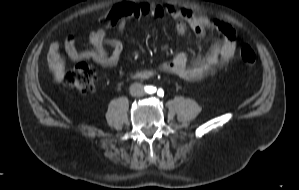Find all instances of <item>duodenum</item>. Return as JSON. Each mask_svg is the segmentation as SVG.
<instances>
[{"instance_id": "410a0bca", "label": "duodenum", "mask_w": 299, "mask_h": 190, "mask_svg": "<svg viewBox=\"0 0 299 190\" xmlns=\"http://www.w3.org/2000/svg\"><path fill=\"white\" fill-rule=\"evenodd\" d=\"M154 74L151 70H142L136 73V76L140 79L149 78Z\"/></svg>"}]
</instances>
